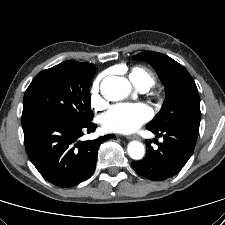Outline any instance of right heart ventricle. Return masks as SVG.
Listing matches in <instances>:
<instances>
[{
    "instance_id": "1",
    "label": "right heart ventricle",
    "mask_w": 225,
    "mask_h": 225,
    "mask_svg": "<svg viewBox=\"0 0 225 225\" xmlns=\"http://www.w3.org/2000/svg\"><path fill=\"white\" fill-rule=\"evenodd\" d=\"M129 79L140 90H148L155 84L154 75L145 67L135 66L129 72Z\"/></svg>"
}]
</instances>
